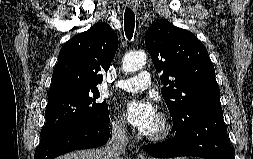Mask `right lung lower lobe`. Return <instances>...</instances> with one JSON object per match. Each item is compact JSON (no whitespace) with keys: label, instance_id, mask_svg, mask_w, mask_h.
Wrapping results in <instances>:
<instances>
[{"label":"right lung lower lobe","instance_id":"right-lung-lower-lobe-1","mask_svg":"<svg viewBox=\"0 0 253 159\" xmlns=\"http://www.w3.org/2000/svg\"><path fill=\"white\" fill-rule=\"evenodd\" d=\"M109 119L105 123L79 122L40 140L34 159H54L78 149L104 145L109 139Z\"/></svg>","mask_w":253,"mask_h":159}]
</instances>
